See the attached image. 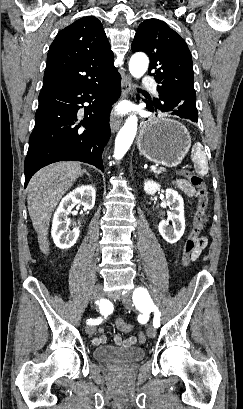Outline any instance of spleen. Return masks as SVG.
I'll return each instance as SVG.
<instances>
[{
    "instance_id": "spleen-1",
    "label": "spleen",
    "mask_w": 243,
    "mask_h": 409,
    "mask_svg": "<svg viewBox=\"0 0 243 409\" xmlns=\"http://www.w3.org/2000/svg\"><path fill=\"white\" fill-rule=\"evenodd\" d=\"M192 160L196 172L204 176L208 173L209 167L203 146L200 143H196L192 148Z\"/></svg>"
}]
</instances>
